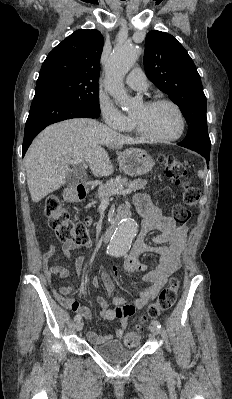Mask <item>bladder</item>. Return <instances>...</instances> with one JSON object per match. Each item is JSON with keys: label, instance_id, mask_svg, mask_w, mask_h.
Here are the masks:
<instances>
[{"label": "bladder", "instance_id": "obj_1", "mask_svg": "<svg viewBox=\"0 0 232 399\" xmlns=\"http://www.w3.org/2000/svg\"><path fill=\"white\" fill-rule=\"evenodd\" d=\"M92 349L103 359L111 363H121L131 358L136 350L126 347L118 340H110L99 345H94Z\"/></svg>", "mask_w": 232, "mask_h": 399}]
</instances>
